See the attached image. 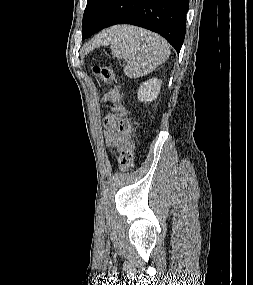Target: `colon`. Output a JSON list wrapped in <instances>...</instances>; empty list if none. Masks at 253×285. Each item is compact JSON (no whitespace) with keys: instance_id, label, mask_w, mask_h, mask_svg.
Masks as SVG:
<instances>
[{"instance_id":"colon-1","label":"colon","mask_w":253,"mask_h":285,"mask_svg":"<svg viewBox=\"0 0 253 285\" xmlns=\"http://www.w3.org/2000/svg\"><path fill=\"white\" fill-rule=\"evenodd\" d=\"M92 72L97 78L101 79L102 81L114 85L117 91L119 92V89L116 86V76L110 68L106 66L96 65L92 67ZM115 111H116L117 116L120 119L128 121L130 123V127H129L130 138H129L127 145L124 147L119 157L120 169L122 171H129L133 167L134 157H135L134 155L135 145L133 141V137L135 134V127L133 123L127 118L128 110L122 103L120 102L116 103Z\"/></svg>"}]
</instances>
